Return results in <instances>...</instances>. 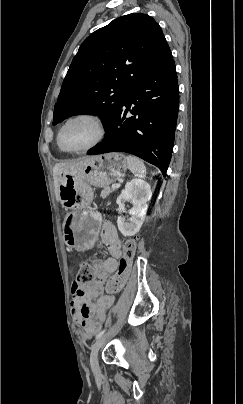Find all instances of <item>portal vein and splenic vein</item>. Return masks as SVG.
Listing matches in <instances>:
<instances>
[{"label":"portal vein and splenic vein","mask_w":243,"mask_h":404,"mask_svg":"<svg viewBox=\"0 0 243 404\" xmlns=\"http://www.w3.org/2000/svg\"><path fill=\"white\" fill-rule=\"evenodd\" d=\"M120 185H122V182H119V184H112L111 188H120Z\"/></svg>","instance_id":"1"}]
</instances>
